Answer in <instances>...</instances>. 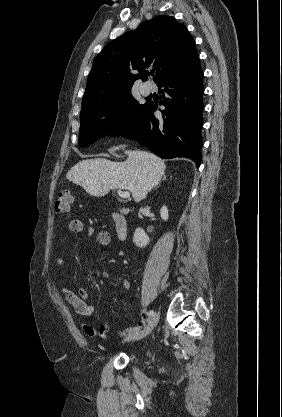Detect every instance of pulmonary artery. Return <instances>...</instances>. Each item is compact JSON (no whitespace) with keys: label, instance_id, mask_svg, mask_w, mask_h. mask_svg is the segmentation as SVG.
Listing matches in <instances>:
<instances>
[{"label":"pulmonary artery","instance_id":"e3ab8cb5","mask_svg":"<svg viewBox=\"0 0 282 417\" xmlns=\"http://www.w3.org/2000/svg\"><path fill=\"white\" fill-rule=\"evenodd\" d=\"M151 91H152V89H151L150 87H143V88H142V93H143L144 95H148V94H150V93H151Z\"/></svg>","mask_w":282,"mask_h":417}]
</instances>
